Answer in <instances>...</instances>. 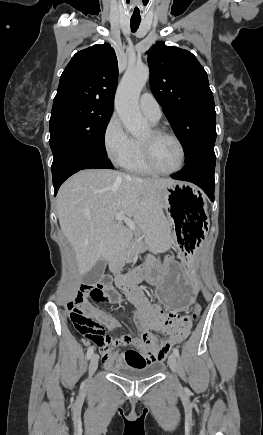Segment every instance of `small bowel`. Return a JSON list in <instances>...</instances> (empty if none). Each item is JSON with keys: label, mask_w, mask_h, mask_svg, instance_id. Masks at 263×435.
Listing matches in <instances>:
<instances>
[{"label": "small bowel", "mask_w": 263, "mask_h": 435, "mask_svg": "<svg viewBox=\"0 0 263 435\" xmlns=\"http://www.w3.org/2000/svg\"><path fill=\"white\" fill-rule=\"evenodd\" d=\"M166 258H171L167 256ZM151 269V264L141 266L135 271L118 275L114 279L115 287L120 290L127 301L131 303L135 312L132 323L136 330L148 328L150 332H161L158 338L165 344L162 350H100L102 362L106 368L116 365L144 366L152 362H161L166 355H173L178 347L176 343L185 330H191V321H176L175 312L178 310H165L164 305L151 303L145 296L139 284L143 281L145 270ZM111 290L116 294V299L110 303L119 304L122 301L121 294L113 287ZM78 307L85 308L88 312L99 316L105 326L115 329L121 326V322L114 316L106 314L92 305L90 299L83 293H79L74 301Z\"/></svg>", "instance_id": "obj_1"}]
</instances>
